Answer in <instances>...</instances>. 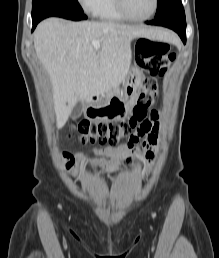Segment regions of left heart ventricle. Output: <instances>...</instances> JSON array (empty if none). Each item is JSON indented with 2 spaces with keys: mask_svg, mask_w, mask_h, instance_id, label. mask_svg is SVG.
I'll use <instances>...</instances> for the list:
<instances>
[{
  "mask_svg": "<svg viewBox=\"0 0 219 258\" xmlns=\"http://www.w3.org/2000/svg\"><path fill=\"white\" fill-rule=\"evenodd\" d=\"M128 12L135 17H144L151 13L154 0H124Z\"/></svg>",
  "mask_w": 219,
  "mask_h": 258,
  "instance_id": "1",
  "label": "left heart ventricle"
}]
</instances>
